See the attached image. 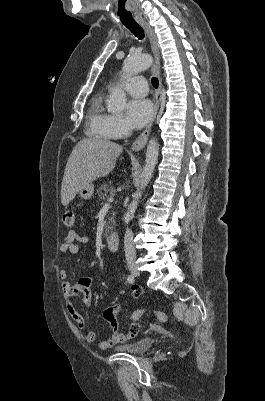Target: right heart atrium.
Here are the masks:
<instances>
[{"label": "right heart atrium", "mask_w": 265, "mask_h": 401, "mask_svg": "<svg viewBox=\"0 0 265 401\" xmlns=\"http://www.w3.org/2000/svg\"><path fill=\"white\" fill-rule=\"evenodd\" d=\"M108 126L112 134L118 138L127 137L132 132V127L126 120L114 116L109 117Z\"/></svg>", "instance_id": "obj_1"}]
</instances>
